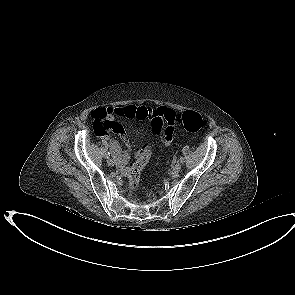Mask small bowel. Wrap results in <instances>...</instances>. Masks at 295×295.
<instances>
[{"label": "small bowel", "instance_id": "1", "mask_svg": "<svg viewBox=\"0 0 295 295\" xmlns=\"http://www.w3.org/2000/svg\"><path fill=\"white\" fill-rule=\"evenodd\" d=\"M168 112L175 113L173 110L165 107L155 109L137 105H126L114 109L99 108L92 112L96 134L104 137L108 141L112 155L123 174H126L129 171L127 167L129 153L128 151L121 150L116 141L109 139L106 136L105 131H110L115 135H121L124 141H127V137L124 133V127L121 124H118L112 117L116 116L139 120L149 119L151 121L152 130L155 133H161L163 130V144L169 146L172 143L175 130L169 131L166 128Z\"/></svg>", "mask_w": 295, "mask_h": 295}]
</instances>
